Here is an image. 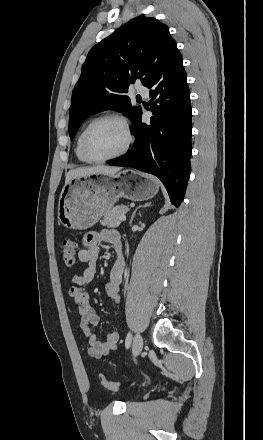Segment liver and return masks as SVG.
<instances>
[{"label": "liver", "instance_id": "obj_1", "mask_svg": "<svg viewBox=\"0 0 263 440\" xmlns=\"http://www.w3.org/2000/svg\"><path fill=\"white\" fill-rule=\"evenodd\" d=\"M119 171H120L119 167H110L105 165L72 169L68 171V173L66 174L65 184H67L71 179L77 177H85L90 175L113 176Z\"/></svg>", "mask_w": 263, "mask_h": 440}]
</instances>
